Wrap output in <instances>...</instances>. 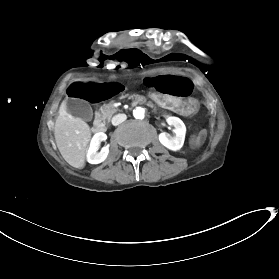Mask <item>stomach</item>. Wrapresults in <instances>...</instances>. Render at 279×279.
I'll return each mask as SVG.
<instances>
[{
	"label": "stomach",
	"mask_w": 279,
	"mask_h": 279,
	"mask_svg": "<svg viewBox=\"0 0 279 279\" xmlns=\"http://www.w3.org/2000/svg\"><path fill=\"white\" fill-rule=\"evenodd\" d=\"M152 100H155L156 105L163 106L167 110H174L182 113L186 117L194 116L198 111V104L196 100L192 98L185 99L180 97L176 99L171 95L161 97L159 93H152L150 95Z\"/></svg>",
	"instance_id": "0dacf381"
}]
</instances>
